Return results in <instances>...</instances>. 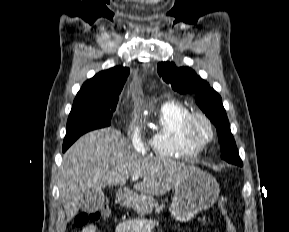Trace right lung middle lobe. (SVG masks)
<instances>
[{"label": "right lung middle lobe", "instance_id": "dd1d6c3e", "mask_svg": "<svg viewBox=\"0 0 289 232\" xmlns=\"http://www.w3.org/2000/svg\"><path fill=\"white\" fill-rule=\"evenodd\" d=\"M119 97L75 98L67 122L63 151L82 134L111 124Z\"/></svg>", "mask_w": 289, "mask_h": 232}]
</instances>
